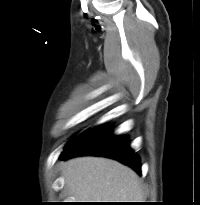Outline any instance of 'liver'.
I'll list each match as a JSON object with an SVG mask.
<instances>
[{
  "label": "liver",
  "mask_w": 200,
  "mask_h": 205,
  "mask_svg": "<svg viewBox=\"0 0 200 205\" xmlns=\"http://www.w3.org/2000/svg\"><path fill=\"white\" fill-rule=\"evenodd\" d=\"M61 172L70 195L82 200L79 202L144 199L137 174L115 160L93 156L72 158L61 164Z\"/></svg>",
  "instance_id": "6515ba94"
}]
</instances>
